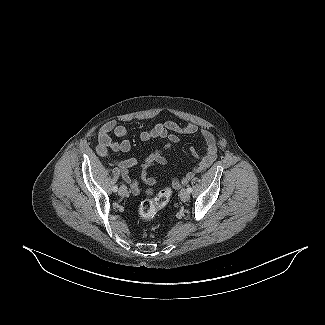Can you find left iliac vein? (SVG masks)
<instances>
[{
	"instance_id": "4c4485c4",
	"label": "left iliac vein",
	"mask_w": 325,
	"mask_h": 325,
	"mask_svg": "<svg viewBox=\"0 0 325 325\" xmlns=\"http://www.w3.org/2000/svg\"><path fill=\"white\" fill-rule=\"evenodd\" d=\"M180 198H181L182 201H188L189 198H190L189 192L186 189L183 188L180 191Z\"/></svg>"
}]
</instances>
